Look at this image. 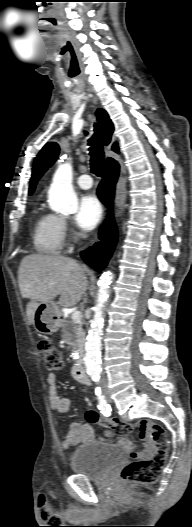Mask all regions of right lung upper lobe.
Instances as JSON below:
<instances>
[{"label":"right lung upper lobe","instance_id":"cb5924a9","mask_svg":"<svg viewBox=\"0 0 192 527\" xmlns=\"http://www.w3.org/2000/svg\"><path fill=\"white\" fill-rule=\"evenodd\" d=\"M96 115L99 122V129L101 132L103 142L105 145H107L111 141V136L114 129L113 124L109 119L108 114L104 110L98 109ZM112 149L115 152H118L117 143H114ZM58 154L59 146L55 142H49L41 149L34 162L32 177L30 181L29 195L34 192L38 179L54 163ZM112 161H114V159L108 158L106 160V164Z\"/></svg>","mask_w":192,"mask_h":527}]
</instances>
